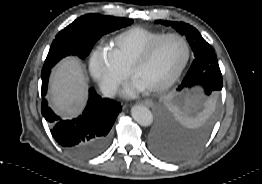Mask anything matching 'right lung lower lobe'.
Listing matches in <instances>:
<instances>
[{
    "label": "right lung lower lobe",
    "mask_w": 262,
    "mask_h": 184,
    "mask_svg": "<svg viewBox=\"0 0 262 184\" xmlns=\"http://www.w3.org/2000/svg\"><path fill=\"white\" fill-rule=\"evenodd\" d=\"M51 69L42 70V96L48 88ZM42 115L51 126L55 140L71 154L81 158L100 155L109 146L111 128L122 109L120 103L101 98L93 88L89 90V100L82 115L73 120L57 116L43 98Z\"/></svg>",
    "instance_id": "obj_1"
}]
</instances>
